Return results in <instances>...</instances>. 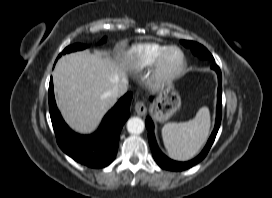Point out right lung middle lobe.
Returning <instances> with one entry per match:
<instances>
[{"label": "right lung middle lobe", "instance_id": "obj_1", "mask_svg": "<svg viewBox=\"0 0 272 198\" xmlns=\"http://www.w3.org/2000/svg\"><path fill=\"white\" fill-rule=\"evenodd\" d=\"M105 40H106V38H103V39L101 40L100 43H104ZM86 47H87V45H82V44H79V43L74 44V45H70V46L66 47V48L62 51V53H60L59 57H60L62 54L69 53V52H73V51H77V50H82V49H85Z\"/></svg>", "mask_w": 272, "mask_h": 198}]
</instances>
